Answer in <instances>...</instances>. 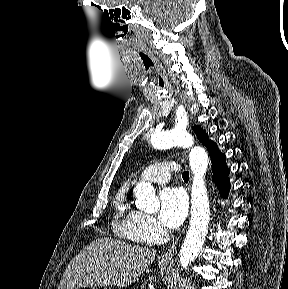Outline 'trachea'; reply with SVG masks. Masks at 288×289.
<instances>
[{
  "mask_svg": "<svg viewBox=\"0 0 288 289\" xmlns=\"http://www.w3.org/2000/svg\"><path fill=\"white\" fill-rule=\"evenodd\" d=\"M140 58L144 64V67L146 70L154 71L156 69L155 68V62L150 55H148L146 53H140ZM182 177L184 180H188L189 179V172L188 171L183 172Z\"/></svg>",
  "mask_w": 288,
  "mask_h": 289,
  "instance_id": "obj_1",
  "label": "trachea"
}]
</instances>
